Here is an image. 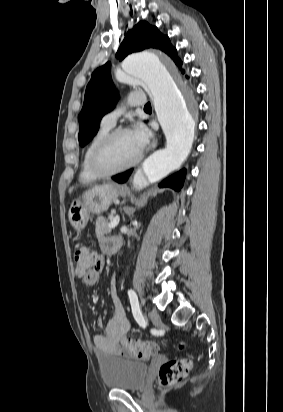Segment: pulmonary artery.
Returning <instances> with one entry per match:
<instances>
[{"mask_svg":"<svg viewBox=\"0 0 283 412\" xmlns=\"http://www.w3.org/2000/svg\"><path fill=\"white\" fill-rule=\"evenodd\" d=\"M147 103V99L142 93H131L125 99L127 106H144ZM125 107H118L108 113H106L102 119L101 124L108 127H113L117 119L124 113Z\"/></svg>","mask_w":283,"mask_h":412,"instance_id":"pulmonary-artery-1","label":"pulmonary artery"}]
</instances>
